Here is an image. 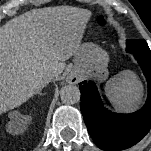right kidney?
I'll return each mask as SVG.
<instances>
[{
  "label": "right kidney",
  "instance_id": "1",
  "mask_svg": "<svg viewBox=\"0 0 151 151\" xmlns=\"http://www.w3.org/2000/svg\"><path fill=\"white\" fill-rule=\"evenodd\" d=\"M11 116L14 118V121L12 124V128L10 129V132H12L13 134H17L19 130L16 127V123L20 121V115L18 112H13ZM22 121L24 122L25 120L23 119Z\"/></svg>",
  "mask_w": 151,
  "mask_h": 151
}]
</instances>
